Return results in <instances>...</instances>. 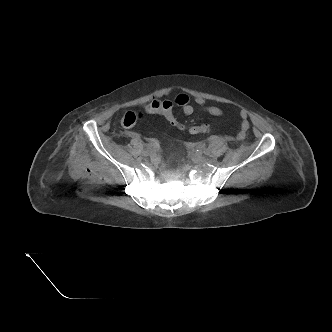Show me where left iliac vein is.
Here are the masks:
<instances>
[{"mask_svg":"<svg viewBox=\"0 0 332 332\" xmlns=\"http://www.w3.org/2000/svg\"><path fill=\"white\" fill-rule=\"evenodd\" d=\"M204 159L205 158L202 155H199L198 153H193L192 154V160L194 162H202V161H204Z\"/></svg>","mask_w":332,"mask_h":332,"instance_id":"obj_1","label":"left iliac vein"}]
</instances>
